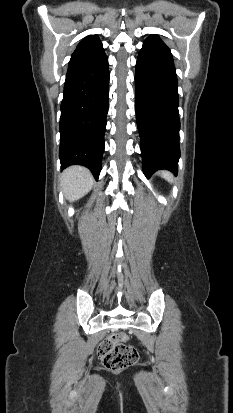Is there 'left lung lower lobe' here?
Here are the masks:
<instances>
[{
  "label": "left lung lower lobe",
  "instance_id": "1",
  "mask_svg": "<svg viewBox=\"0 0 233 413\" xmlns=\"http://www.w3.org/2000/svg\"><path fill=\"white\" fill-rule=\"evenodd\" d=\"M137 126L146 177L159 169L178 171L180 157L177 75L169 48L149 36L135 70Z\"/></svg>",
  "mask_w": 233,
  "mask_h": 413
}]
</instances>
